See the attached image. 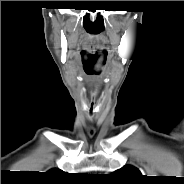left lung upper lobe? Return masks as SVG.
I'll return each mask as SVG.
<instances>
[{
    "instance_id": "5c2ea615",
    "label": "left lung upper lobe",
    "mask_w": 184,
    "mask_h": 184,
    "mask_svg": "<svg viewBox=\"0 0 184 184\" xmlns=\"http://www.w3.org/2000/svg\"><path fill=\"white\" fill-rule=\"evenodd\" d=\"M114 176H116L117 180L122 181L124 183H134L142 177L140 171L130 165L123 166L121 169L115 171Z\"/></svg>"
}]
</instances>
